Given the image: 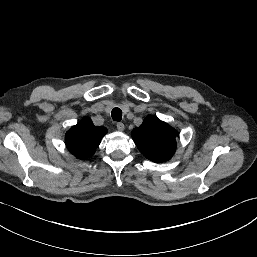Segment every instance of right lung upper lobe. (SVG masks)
<instances>
[{"label": "right lung upper lobe", "mask_w": 257, "mask_h": 257, "mask_svg": "<svg viewBox=\"0 0 257 257\" xmlns=\"http://www.w3.org/2000/svg\"><path fill=\"white\" fill-rule=\"evenodd\" d=\"M106 133V128L94 126L92 120L85 117L66 133V146L77 158L86 159L94 154Z\"/></svg>", "instance_id": "right-lung-upper-lobe-1"}]
</instances>
